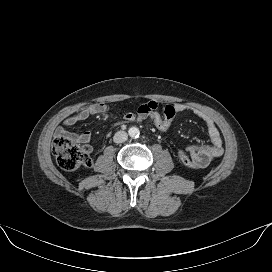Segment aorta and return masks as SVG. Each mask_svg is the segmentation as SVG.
Listing matches in <instances>:
<instances>
[{"mask_svg":"<svg viewBox=\"0 0 272 272\" xmlns=\"http://www.w3.org/2000/svg\"><path fill=\"white\" fill-rule=\"evenodd\" d=\"M139 129L137 127H131L128 130V134L132 138H138L139 137Z\"/></svg>","mask_w":272,"mask_h":272,"instance_id":"aorta-1","label":"aorta"}]
</instances>
